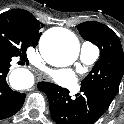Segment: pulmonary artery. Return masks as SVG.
<instances>
[{"label": "pulmonary artery", "mask_w": 124, "mask_h": 124, "mask_svg": "<svg viewBox=\"0 0 124 124\" xmlns=\"http://www.w3.org/2000/svg\"><path fill=\"white\" fill-rule=\"evenodd\" d=\"M100 54L99 48L92 43L85 42L81 45L80 60L86 64L91 65L95 63Z\"/></svg>", "instance_id": "pulmonary-artery-1"}]
</instances>
